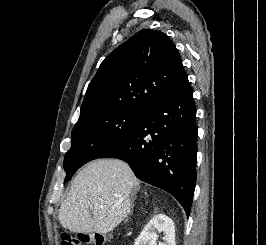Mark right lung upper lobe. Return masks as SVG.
Listing matches in <instances>:
<instances>
[{
	"instance_id": "cb5924a9",
	"label": "right lung upper lobe",
	"mask_w": 266,
	"mask_h": 245,
	"mask_svg": "<svg viewBox=\"0 0 266 245\" xmlns=\"http://www.w3.org/2000/svg\"><path fill=\"white\" fill-rule=\"evenodd\" d=\"M187 81L181 57L169 37L143 29L102 62L87 88L79 118L106 108L146 111Z\"/></svg>"
}]
</instances>
